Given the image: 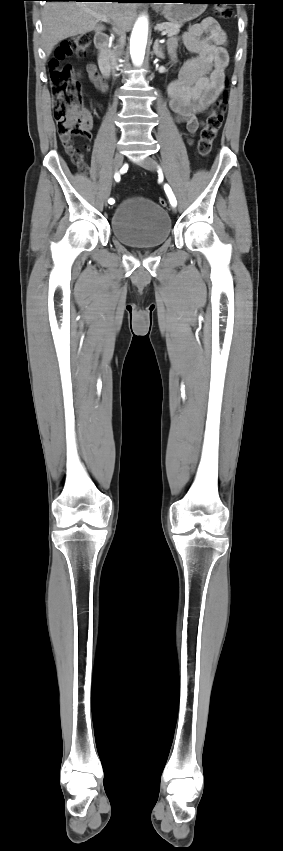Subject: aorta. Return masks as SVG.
Returning <instances> with one entry per match:
<instances>
[{
    "instance_id": "1",
    "label": "aorta",
    "mask_w": 283,
    "mask_h": 851,
    "mask_svg": "<svg viewBox=\"0 0 283 851\" xmlns=\"http://www.w3.org/2000/svg\"><path fill=\"white\" fill-rule=\"evenodd\" d=\"M148 36V21L146 17H140L133 28L130 39V55L134 64L143 62Z\"/></svg>"
}]
</instances>
